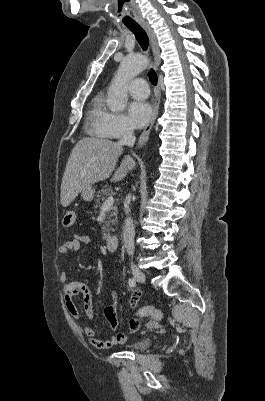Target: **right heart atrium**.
Masks as SVG:
<instances>
[{"label": "right heart atrium", "mask_w": 265, "mask_h": 401, "mask_svg": "<svg viewBox=\"0 0 265 401\" xmlns=\"http://www.w3.org/2000/svg\"><path fill=\"white\" fill-rule=\"evenodd\" d=\"M100 122L104 130L114 138H123L130 136L134 128L130 121L117 112L107 111L100 117Z\"/></svg>", "instance_id": "right-heart-atrium-1"}]
</instances>
